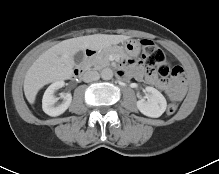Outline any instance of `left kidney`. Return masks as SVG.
Wrapping results in <instances>:
<instances>
[{"label": "left kidney", "instance_id": "obj_1", "mask_svg": "<svg viewBox=\"0 0 219 174\" xmlns=\"http://www.w3.org/2000/svg\"><path fill=\"white\" fill-rule=\"evenodd\" d=\"M145 90L148 93L147 100L141 99L137 101L138 110L148 117H160L167 107L165 97L153 87L147 86Z\"/></svg>", "mask_w": 219, "mask_h": 174}]
</instances>
